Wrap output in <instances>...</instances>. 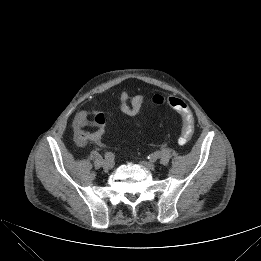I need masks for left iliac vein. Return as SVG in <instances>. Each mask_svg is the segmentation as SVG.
Instances as JSON below:
<instances>
[{
	"label": "left iliac vein",
	"mask_w": 261,
	"mask_h": 261,
	"mask_svg": "<svg viewBox=\"0 0 261 261\" xmlns=\"http://www.w3.org/2000/svg\"><path fill=\"white\" fill-rule=\"evenodd\" d=\"M141 163H142V165H143L145 168H147V169H149V170H152V169L155 168L154 162L142 161Z\"/></svg>",
	"instance_id": "obj_1"
}]
</instances>
